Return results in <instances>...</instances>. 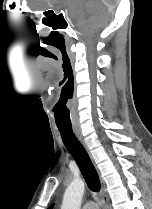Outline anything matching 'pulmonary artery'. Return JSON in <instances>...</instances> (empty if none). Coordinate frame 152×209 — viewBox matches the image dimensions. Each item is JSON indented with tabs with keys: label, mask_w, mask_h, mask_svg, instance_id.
<instances>
[{
	"label": "pulmonary artery",
	"mask_w": 152,
	"mask_h": 209,
	"mask_svg": "<svg viewBox=\"0 0 152 209\" xmlns=\"http://www.w3.org/2000/svg\"><path fill=\"white\" fill-rule=\"evenodd\" d=\"M83 209H98L97 205L93 201L86 202L83 205Z\"/></svg>",
	"instance_id": "pulmonary-artery-1"
}]
</instances>
